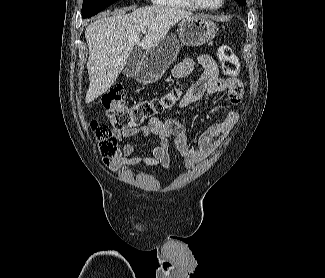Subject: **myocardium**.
I'll use <instances>...</instances> for the list:
<instances>
[{
    "mask_svg": "<svg viewBox=\"0 0 325 278\" xmlns=\"http://www.w3.org/2000/svg\"><path fill=\"white\" fill-rule=\"evenodd\" d=\"M199 9L202 10H207V11H214L217 10L219 8H221L224 3L225 0H221L219 4L215 5V6H206L204 5L200 0H191Z\"/></svg>",
    "mask_w": 325,
    "mask_h": 278,
    "instance_id": "obj_1",
    "label": "myocardium"
}]
</instances>
